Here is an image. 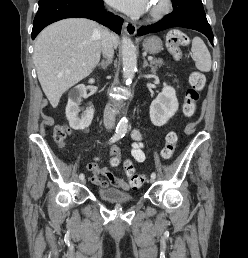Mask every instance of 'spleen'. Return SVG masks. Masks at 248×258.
<instances>
[{
	"mask_svg": "<svg viewBox=\"0 0 248 258\" xmlns=\"http://www.w3.org/2000/svg\"><path fill=\"white\" fill-rule=\"evenodd\" d=\"M192 53L196 68L202 72H209L212 64L211 55L200 37L192 40Z\"/></svg>",
	"mask_w": 248,
	"mask_h": 258,
	"instance_id": "3e777b00",
	"label": "spleen"
}]
</instances>
